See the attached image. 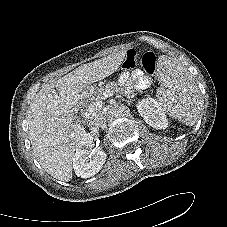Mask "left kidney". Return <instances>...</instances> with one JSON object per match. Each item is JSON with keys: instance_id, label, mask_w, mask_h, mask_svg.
<instances>
[{"instance_id": "left-kidney-1", "label": "left kidney", "mask_w": 227, "mask_h": 227, "mask_svg": "<svg viewBox=\"0 0 227 227\" xmlns=\"http://www.w3.org/2000/svg\"><path fill=\"white\" fill-rule=\"evenodd\" d=\"M136 107L139 114L148 125L155 129H166L168 127V120L165 112L161 104L155 99H142L137 103Z\"/></svg>"}]
</instances>
